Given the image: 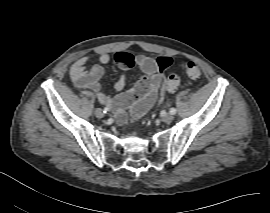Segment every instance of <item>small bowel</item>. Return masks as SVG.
Wrapping results in <instances>:
<instances>
[{
  "mask_svg": "<svg viewBox=\"0 0 270 213\" xmlns=\"http://www.w3.org/2000/svg\"><path fill=\"white\" fill-rule=\"evenodd\" d=\"M88 59V56H81L72 64L70 67L71 80L80 88L92 90L101 104L114 108L117 120L122 124L126 123L127 120L120 115V111L130 103L134 104L132 110L134 119L143 115L154 104L157 99L159 87L163 81L162 72L172 65V59L169 57H161L156 60L145 56L138 57L132 64H129L125 57L116 54L114 59L119 68L126 69L128 66L136 64L145 73L132 90L138 91V100L136 102H129L126 99V95L119 94L116 97H112L103 92L100 80L104 74V68L100 65L87 68ZM110 61L111 56L108 53L101 52L99 54L100 64L106 65ZM125 85L126 78L123 76L116 82L114 88L120 92L124 89ZM163 95L164 93H161V96Z\"/></svg>",
  "mask_w": 270,
  "mask_h": 213,
  "instance_id": "obj_1",
  "label": "small bowel"
}]
</instances>
